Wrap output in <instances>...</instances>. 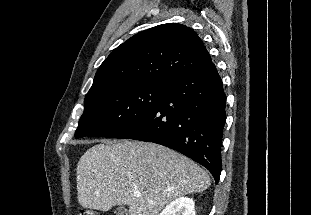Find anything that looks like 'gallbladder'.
Listing matches in <instances>:
<instances>
[{
  "instance_id": "gallbladder-1",
  "label": "gallbladder",
  "mask_w": 311,
  "mask_h": 215,
  "mask_svg": "<svg viewBox=\"0 0 311 215\" xmlns=\"http://www.w3.org/2000/svg\"><path fill=\"white\" fill-rule=\"evenodd\" d=\"M114 213L116 215H128V210L125 207H118L115 209Z\"/></svg>"
}]
</instances>
